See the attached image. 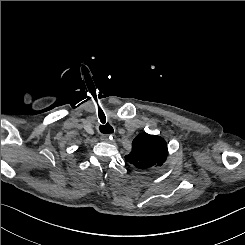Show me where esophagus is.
<instances>
[{
  "mask_svg": "<svg viewBox=\"0 0 245 245\" xmlns=\"http://www.w3.org/2000/svg\"><path fill=\"white\" fill-rule=\"evenodd\" d=\"M110 138H111V136H109V135H102L101 136V140L104 142H108Z\"/></svg>",
  "mask_w": 245,
  "mask_h": 245,
  "instance_id": "esophagus-1",
  "label": "esophagus"
}]
</instances>
